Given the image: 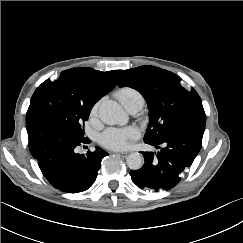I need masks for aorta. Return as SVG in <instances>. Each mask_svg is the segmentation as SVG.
<instances>
[{"instance_id":"aorta-1","label":"aorta","mask_w":243,"mask_h":243,"mask_svg":"<svg viewBox=\"0 0 243 243\" xmlns=\"http://www.w3.org/2000/svg\"><path fill=\"white\" fill-rule=\"evenodd\" d=\"M100 119L108 125H124L128 121V117L123 111L122 107L115 101H105L100 105L99 108ZM127 165L132 170H138L143 166V156L134 152L128 155Z\"/></svg>"}]
</instances>
